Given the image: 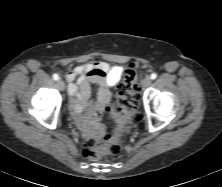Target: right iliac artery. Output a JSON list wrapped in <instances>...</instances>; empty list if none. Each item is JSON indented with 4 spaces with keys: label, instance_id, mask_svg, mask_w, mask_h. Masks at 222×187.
Wrapping results in <instances>:
<instances>
[{
    "label": "right iliac artery",
    "instance_id": "right-iliac-artery-1",
    "mask_svg": "<svg viewBox=\"0 0 222 187\" xmlns=\"http://www.w3.org/2000/svg\"><path fill=\"white\" fill-rule=\"evenodd\" d=\"M53 79H54L55 81L59 80L58 74H53Z\"/></svg>",
    "mask_w": 222,
    "mask_h": 187
}]
</instances>
